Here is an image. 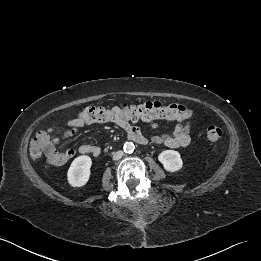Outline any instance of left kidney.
Instances as JSON below:
<instances>
[{"label": "left kidney", "instance_id": "obj_1", "mask_svg": "<svg viewBox=\"0 0 261 261\" xmlns=\"http://www.w3.org/2000/svg\"><path fill=\"white\" fill-rule=\"evenodd\" d=\"M159 162L168 172H176L182 168L183 161L179 152L174 150H165L158 156Z\"/></svg>", "mask_w": 261, "mask_h": 261}]
</instances>
